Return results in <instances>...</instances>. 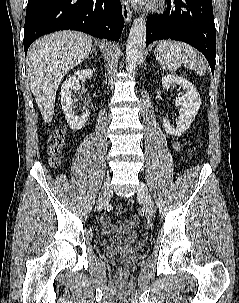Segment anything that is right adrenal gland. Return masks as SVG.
Instances as JSON below:
<instances>
[{
  "label": "right adrenal gland",
  "mask_w": 239,
  "mask_h": 303,
  "mask_svg": "<svg viewBox=\"0 0 239 303\" xmlns=\"http://www.w3.org/2000/svg\"><path fill=\"white\" fill-rule=\"evenodd\" d=\"M97 55V53L95 52V49H94V46H92V49H91V52H90V55ZM89 59V57H88Z\"/></svg>",
  "instance_id": "1"
}]
</instances>
